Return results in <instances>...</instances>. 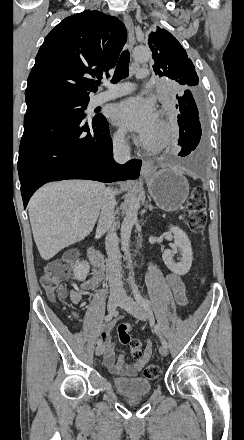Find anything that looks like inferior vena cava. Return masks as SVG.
Segmentation results:
<instances>
[{
  "instance_id": "1",
  "label": "inferior vena cava",
  "mask_w": 244,
  "mask_h": 440,
  "mask_svg": "<svg viewBox=\"0 0 244 440\" xmlns=\"http://www.w3.org/2000/svg\"><path fill=\"white\" fill-rule=\"evenodd\" d=\"M113 146L114 160H116L118 164H125V162L130 160V148L125 142V134H119V136L115 138ZM114 208V192H111V190L107 188L101 204L98 230L108 232L105 238V246L108 256L110 294H123L121 254L118 246V236L113 226L115 222Z\"/></svg>"
}]
</instances>
